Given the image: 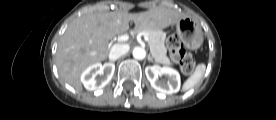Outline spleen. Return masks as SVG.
Listing matches in <instances>:
<instances>
[{"label": "spleen", "instance_id": "1", "mask_svg": "<svg viewBox=\"0 0 276 120\" xmlns=\"http://www.w3.org/2000/svg\"><path fill=\"white\" fill-rule=\"evenodd\" d=\"M205 69L206 65L204 63L198 64L194 73L184 82L182 91H187L197 85L201 81L205 73Z\"/></svg>", "mask_w": 276, "mask_h": 120}]
</instances>
